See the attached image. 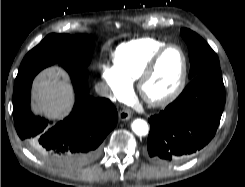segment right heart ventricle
Returning a JSON list of instances; mask_svg holds the SVG:
<instances>
[{
    "label": "right heart ventricle",
    "mask_w": 245,
    "mask_h": 187,
    "mask_svg": "<svg viewBox=\"0 0 245 187\" xmlns=\"http://www.w3.org/2000/svg\"><path fill=\"white\" fill-rule=\"evenodd\" d=\"M165 45L166 42L151 37L122 43L113 54L114 65L120 76L131 84L138 80L151 57Z\"/></svg>",
    "instance_id": "1"
}]
</instances>
